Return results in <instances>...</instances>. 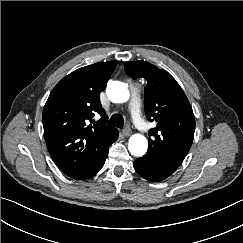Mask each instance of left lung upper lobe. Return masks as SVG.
<instances>
[{
	"mask_svg": "<svg viewBox=\"0 0 243 243\" xmlns=\"http://www.w3.org/2000/svg\"><path fill=\"white\" fill-rule=\"evenodd\" d=\"M127 74L147 80L145 112L157 126L149 131V149L144 157L176 170L193 142L195 118L192 107L176 80L166 71L146 62L127 61Z\"/></svg>",
	"mask_w": 243,
	"mask_h": 243,
	"instance_id": "5c2ea615",
	"label": "left lung upper lobe"
}]
</instances>
